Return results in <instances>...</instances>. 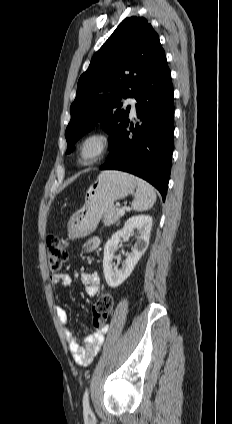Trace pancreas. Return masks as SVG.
Wrapping results in <instances>:
<instances>
[{"label": "pancreas", "mask_w": 232, "mask_h": 424, "mask_svg": "<svg viewBox=\"0 0 232 424\" xmlns=\"http://www.w3.org/2000/svg\"><path fill=\"white\" fill-rule=\"evenodd\" d=\"M119 209L117 207H112L103 215V223L105 226H110L118 222L121 218V215L118 214Z\"/></svg>", "instance_id": "cf45deb5"}]
</instances>
